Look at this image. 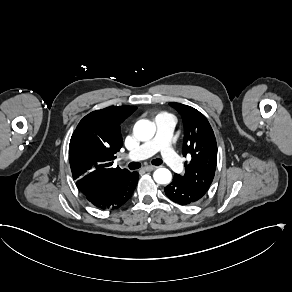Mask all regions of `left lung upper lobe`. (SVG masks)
I'll use <instances>...</instances> for the list:
<instances>
[{"label": "left lung upper lobe", "instance_id": "5c2ea615", "mask_svg": "<svg viewBox=\"0 0 292 292\" xmlns=\"http://www.w3.org/2000/svg\"><path fill=\"white\" fill-rule=\"evenodd\" d=\"M183 118L184 140L182 153L190 160L185 162V174H175L182 183L207 192L215 175L217 143L206 117L193 107L169 103Z\"/></svg>", "mask_w": 292, "mask_h": 292}]
</instances>
